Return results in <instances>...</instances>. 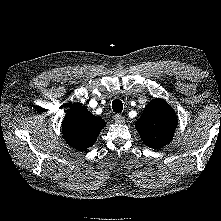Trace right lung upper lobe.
Instances as JSON below:
<instances>
[{"label":"right lung upper lobe","instance_id":"1","mask_svg":"<svg viewBox=\"0 0 221 221\" xmlns=\"http://www.w3.org/2000/svg\"><path fill=\"white\" fill-rule=\"evenodd\" d=\"M106 122L92 115L84 106L74 104L62 123V132L67 143L77 150H86L94 145Z\"/></svg>","mask_w":221,"mask_h":221}]
</instances>
